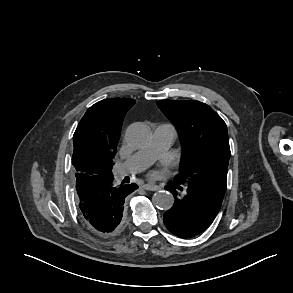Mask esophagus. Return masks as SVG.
<instances>
[{"mask_svg":"<svg viewBox=\"0 0 293 293\" xmlns=\"http://www.w3.org/2000/svg\"><path fill=\"white\" fill-rule=\"evenodd\" d=\"M141 188L145 190H151V191H156L160 189L158 185H154V184H144L141 186Z\"/></svg>","mask_w":293,"mask_h":293,"instance_id":"obj_1","label":"esophagus"}]
</instances>
